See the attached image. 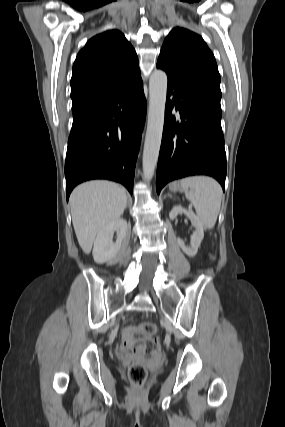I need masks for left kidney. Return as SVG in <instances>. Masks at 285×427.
Wrapping results in <instances>:
<instances>
[{
	"label": "left kidney",
	"mask_w": 285,
	"mask_h": 427,
	"mask_svg": "<svg viewBox=\"0 0 285 427\" xmlns=\"http://www.w3.org/2000/svg\"><path fill=\"white\" fill-rule=\"evenodd\" d=\"M182 213H184L190 219L192 225L195 227V232L191 236V247H187L181 239H178L177 241L183 252L187 256L193 257L197 254L201 241L204 238V228L199 218L194 214V212H192L191 210H186L181 206L173 207L171 212L169 213V218L171 220H174L179 214Z\"/></svg>",
	"instance_id": "obj_1"
}]
</instances>
